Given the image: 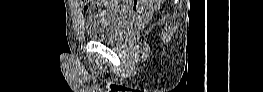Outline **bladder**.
<instances>
[{
    "label": "bladder",
    "instance_id": "1",
    "mask_svg": "<svg viewBox=\"0 0 263 92\" xmlns=\"http://www.w3.org/2000/svg\"><path fill=\"white\" fill-rule=\"evenodd\" d=\"M137 12L113 6L97 9L85 19V30L91 40L107 43L116 42L133 26Z\"/></svg>",
    "mask_w": 263,
    "mask_h": 92
}]
</instances>
